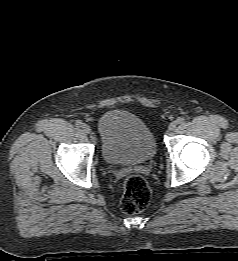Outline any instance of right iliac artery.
Here are the masks:
<instances>
[{"label":"right iliac artery","instance_id":"82829eb1","mask_svg":"<svg viewBox=\"0 0 238 261\" xmlns=\"http://www.w3.org/2000/svg\"><path fill=\"white\" fill-rule=\"evenodd\" d=\"M82 122L80 121V120H77L76 121V123H75V125L77 126V127H82Z\"/></svg>","mask_w":238,"mask_h":261}]
</instances>
